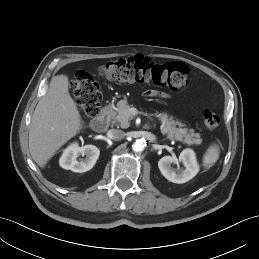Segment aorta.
<instances>
[{
	"label": "aorta",
	"mask_w": 259,
	"mask_h": 259,
	"mask_svg": "<svg viewBox=\"0 0 259 259\" xmlns=\"http://www.w3.org/2000/svg\"><path fill=\"white\" fill-rule=\"evenodd\" d=\"M146 147L145 139H137L136 142L132 145V149L135 152H141Z\"/></svg>",
	"instance_id": "1"
}]
</instances>
